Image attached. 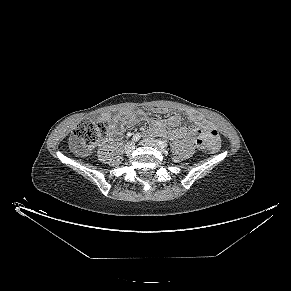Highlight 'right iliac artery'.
I'll list each match as a JSON object with an SVG mask.
<instances>
[{
    "label": "right iliac artery",
    "mask_w": 291,
    "mask_h": 291,
    "mask_svg": "<svg viewBox=\"0 0 291 291\" xmlns=\"http://www.w3.org/2000/svg\"><path fill=\"white\" fill-rule=\"evenodd\" d=\"M141 138V134L137 133L133 136L132 141L137 142Z\"/></svg>",
    "instance_id": "obj_1"
}]
</instances>
